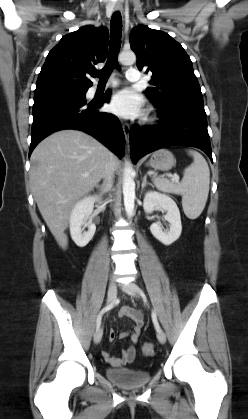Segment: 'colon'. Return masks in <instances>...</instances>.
<instances>
[{
	"mask_svg": "<svg viewBox=\"0 0 248 419\" xmlns=\"http://www.w3.org/2000/svg\"><path fill=\"white\" fill-rule=\"evenodd\" d=\"M143 353L151 355L154 353V344L152 342H145L142 346Z\"/></svg>",
	"mask_w": 248,
	"mask_h": 419,
	"instance_id": "obj_1",
	"label": "colon"
}]
</instances>
